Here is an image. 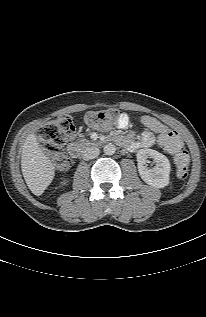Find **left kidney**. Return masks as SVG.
<instances>
[{
    "instance_id": "1",
    "label": "left kidney",
    "mask_w": 206,
    "mask_h": 317,
    "mask_svg": "<svg viewBox=\"0 0 206 317\" xmlns=\"http://www.w3.org/2000/svg\"><path fill=\"white\" fill-rule=\"evenodd\" d=\"M147 158H153L156 165L153 169L147 167ZM137 162L139 175L144 182L156 188H164L169 184L171 167L165 155L153 149H140Z\"/></svg>"
}]
</instances>
